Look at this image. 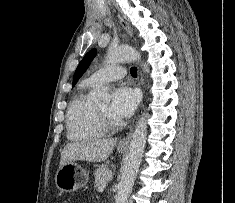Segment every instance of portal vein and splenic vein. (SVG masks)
<instances>
[{
    "label": "portal vein and splenic vein",
    "instance_id": "portal-vein-and-splenic-vein-1",
    "mask_svg": "<svg viewBox=\"0 0 235 203\" xmlns=\"http://www.w3.org/2000/svg\"><path fill=\"white\" fill-rule=\"evenodd\" d=\"M105 186L98 187V192H103Z\"/></svg>",
    "mask_w": 235,
    "mask_h": 203
}]
</instances>
